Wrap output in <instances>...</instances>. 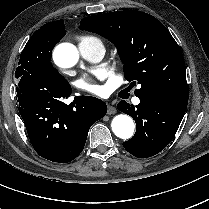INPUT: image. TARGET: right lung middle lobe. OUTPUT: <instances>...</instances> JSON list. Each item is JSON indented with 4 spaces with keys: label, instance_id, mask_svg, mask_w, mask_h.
I'll return each instance as SVG.
<instances>
[{
    "label": "right lung middle lobe",
    "instance_id": "obj_1",
    "mask_svg": "<svg viewBox=\"0 0 209 209\" xmlns=\"http://www.w3.org/2000/svg\"><path fill=\"white\" fill-rule=\"evenodd\" d=\"M65 26L61 22L53 29L37 30L23 49L15 72L18 80L36 78L43 81L67 86L69 83L52 67L50 62L54 46L65 35Z\"/></svg>",
    "mask_w": 209,
    "mask_h": 209
}]
</instances>
